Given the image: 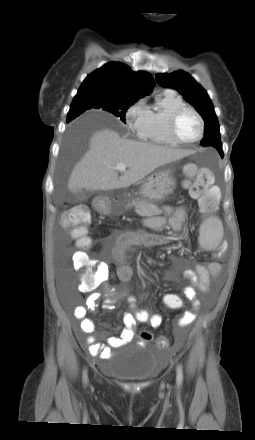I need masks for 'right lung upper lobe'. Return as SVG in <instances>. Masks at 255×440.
Masks as SVG:
<instances>
[{
  "mask_svg": "<svg viewBox=\"0 0 255 440\" xmlns=\"http://www.w3.org/2000/svg\"><path fill=\"white\" fill-rule=\"evenodd\" d=\"M154 85L155 81L149 73L134 72L123 63L111 62L89 74L77 94L95 93L135 102L148 95ZM72 119L67 118V122Z\"/></svg>",
  "mask_w": 255,
  "mask_h": 440,
  "instance_id": "obj_1",
  "label": "right lung upper lobe"
}]
</instances>
